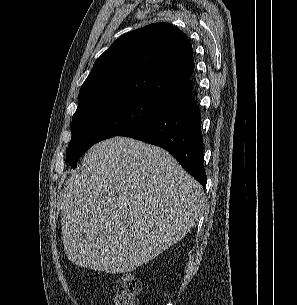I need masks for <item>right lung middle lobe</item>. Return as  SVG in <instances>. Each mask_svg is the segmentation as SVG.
<instances>
[{"label":"right lung middle lobe","instance_id":"obj_1","mask_svg":"<svg viewBox=\"0 0 297 305\" xmlns=\"http://www.w3.org/2000/svg\"><path fill=\"white\" fill-rule=\"evenodd\" d=\"M170 104L150 95L128 94L104 98L77 109L66 153L69 164L76 168L78 158L93 144L145 123Z\"/></svg>","mask_w":297,"mask_h":305}]
</instances>
